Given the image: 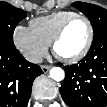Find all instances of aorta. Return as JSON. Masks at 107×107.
<instances>
[{
	"mask_svg": "<svg viewBox=\"0 0 107 107\" xmlns=\"http://www.w3.org/2000/svg\"><path fill=\"white\" fill-rule=\"evenodd\" d=\"M50 77L55 81H62L65 77L64 70L60 67H53L50 70Z\"/></svg>",
	"mask_w": 107,
	"mask_h": 107,
	"instance_id": "aorta-1",
	"label": "aorta"
}]
</instances>
